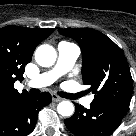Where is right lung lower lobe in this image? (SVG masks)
I'll return each mask as SVG.
<instances>
[{
    "label": "right lung lower lobe",
    "instance_id": "obj_1",
    "mask_svg": "<svg viewBox=\"0 0 136 136\" xmlns=\"http://www.w3.org/2000/svg\"><path fill=\"white\" fill-rule=\"evenodd\" d=\"M51 101L52 97L47 92L37 96L26 94L0 108V136H27L37 122L39 110Z\"/></svg>",
    "mask_w": 136,
    "mask_h": 136
}]
</instances>
